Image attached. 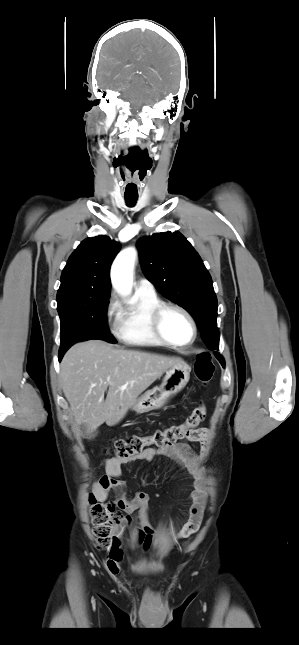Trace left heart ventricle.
<instances>
[{
  "label": "left heart ventricle",
  "mask_w": 299,
  "mask_h": 645,
  "mask_svg": "<svg viewBox=\"0 0 299 645\" xmlns=\"http://www.w3.org/2000/svg\"><path fill=\"white\" fill-rule=\"evenodd\" d=\"M163 331L168 339L176 343H187L192 337L188 319L179 311L167 310L163 317Z\"/></svg>",
  "instance_id": "obj_1"
}]
</instances>
